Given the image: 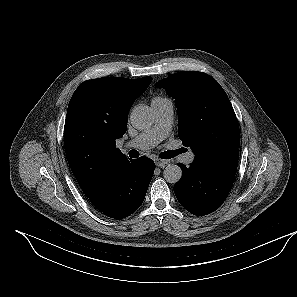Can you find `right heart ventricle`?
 Here are the masks:
<instances>
[{
  "mask_svg": "<svg viewBox=\"0 0 297 297\" xmlns=\"http://www.w3.org/2000/svg\"><path fill=\"white\" fill-rule=\"evenodd\" d=\"M157 98H162V97H155L154 99H157Z\"/></svg>",
  "mask_w": 297,
  "mask_h": 297,
  "instance_id": "e07e8e85",
  "label": "right heart ventricle"
}]
</instances>
